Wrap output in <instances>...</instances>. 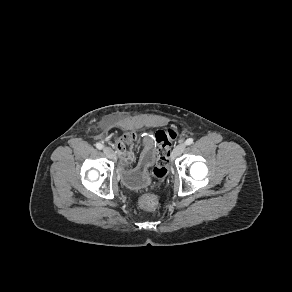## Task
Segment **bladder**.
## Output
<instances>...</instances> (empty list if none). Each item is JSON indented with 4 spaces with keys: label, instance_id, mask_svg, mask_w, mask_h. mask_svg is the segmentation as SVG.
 Here are the masks:
<instances>
[{
    "label": "bladder",
    "instance_id": "bladder-1",
    "mask_svg": "<svg viewBox=\"0 0 292 292\" xmlns=\"http://www.w3.org/2000/svg\"><path fill=\"white\" fill-rule=\"evenodd\" d=\"M122 182L124 185L133 190H138L147 187L151 179L147 173L125 172L122 175Z\"/></svg>",
    "mask_w": 292,
    "mask_h": 292
}]
</instances>
